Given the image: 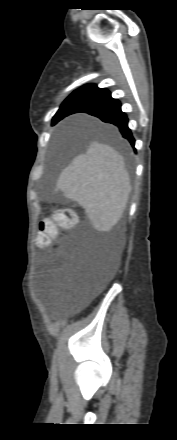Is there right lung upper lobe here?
<instances>
[{"label": "right lung upper lobe", "mask_w": 177, "mask_h": 440, "mask_svg": "<svg viewBox=\"0 0 177 440\" xmlns=\"http://www.w3.org/2000/svg\"><path fill=\"white\" fill-rule=\"evenodd\" d=\"M73 93L80 95V96L93 98L95 100V102L103 100L107 97H110L109 91H107L106 89H103V88H98L95 84H87V85L77 89ZM61 119L62 118H53V124L57 123Z\"/></svg>", "instance_id": "1"}]
</instances>
